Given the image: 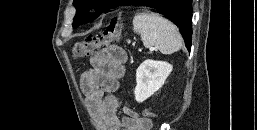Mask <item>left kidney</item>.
Returning <instances> with one entry per match:
<instances>
[{"label": "left kidney", "mask_w": 257, "mask_h": 130, "mask_svg": "<svg viewBox=\"0 0 257 130\" xmlns=\"http://www.w3.org/2000/svg\"><path fill=\"white\" fill-rule=\"evenodd\" d=\"M172 65L164 61L146 60L136 71L135 99L141 103L158 91L172 71Z\"/></svg>", "instance_id": "left-kidney-1"}]
</instances>
